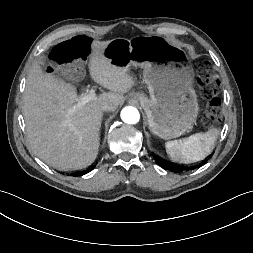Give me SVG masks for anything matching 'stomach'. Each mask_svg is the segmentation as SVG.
<instances>
[{
  "mask_svg": "<svg viewBox=\"0 0 253 253\" xmlns=\"http://www.w3.org/2000/svg\"><path fill=\"white\" fill-rule=\"evenodd\" d=\"M105 54L113 64L126 69L143 68L149 97L136 92L132 98L143 107L154 135L170 140L193 128L199 110L192 87L194 73L181 48L159 36L115 38Z\"/></svg>",
  "mask_w": 253,
  "mask_h": 253,
  "instance_id": "1",
  "label": "stomach"
}]
</instances>
